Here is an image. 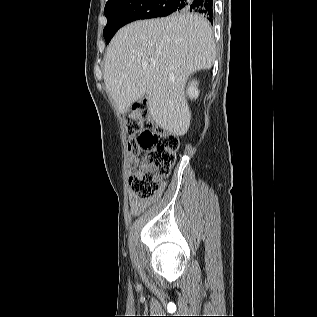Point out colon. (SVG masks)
<instances>
[{
    "mask_svg": "<svg viewBox=\"0 0 317 317\" xmlns=\"http://www.w3.org/2000/svg\"><path fill=\"white\" fill-rule=\"evenodd\" d=\"M146 114L145 106L134 105L126 118L129 164L135 170L129 183L133 195L141 201L157 196L179 148L177 136L150 122Z\"/></svg>",
    "mask_w": 317,
    "mask_h": 317,
    "instance_id": "5ec220e1",
    "label": "colon"
}]
</instances>
